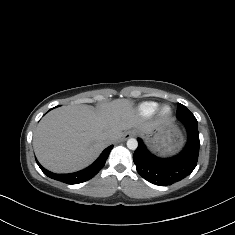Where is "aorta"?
Masks as SVG:
<instances>
[{
  "mask_svg": "<svg viewBox=\"0 0 235 235\" xmlns=\"http://www.w3.org/2000/svg\"><path fill=\"white\" fill-rule=\"evenodd\" d=\"M138 147V142L136 139L134 138H130L128 139L127 141V148L130 149V150H136Z\"/></svg>",
  "mask_w": 235,
  "mask_h": 235,
  "instance_id": "obj_1",
  "label": "aorta"
}]
</instances>
